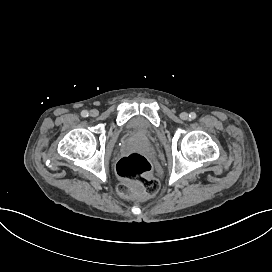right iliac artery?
<instances>
[{
    "label": "right iliac artery",
    "instance_id": "1",
    "mask_svg": "<svg viewBox=\"0 0 272 272\" xmlns=\"http://www.w3.org/2000/svg\"><path fill=\"white\" fill-rule=\"evenodd\" d=\"M88 115H89V113H88V111H86V110H83V111L81 112V116H82V117H88Z\"/></svg>",
    "mask_w": 272,
    "mask_h": 272
}]
</instances>
